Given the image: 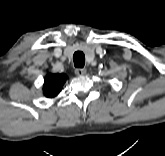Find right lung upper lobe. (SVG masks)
<instances>
[{
    "mask_svg": "<svg viewBox=\"0 0 165 156\" xmlns=\"http://www.w3.org/2000/svg\"><path fill=\"white\" fill-rule=\"evenodd\" d=\"M67 79L65 74L49 73L44 81L43 92L49 98L55 97L60 91Z\"/></svg>",
    "mask_w": 165,
    "mask_h": 156,
    "instance_id": "obj_1",
    "label": "right lung upper lobe"
}]
</instances>
